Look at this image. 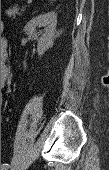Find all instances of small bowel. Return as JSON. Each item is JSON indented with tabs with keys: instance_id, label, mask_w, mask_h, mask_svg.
Returning a JSON list of instances; mask_svg holds the SVG:
<instances>
[{
	"instance_id": "obj_1",
	"label": "small bowel",
	"mask_w": 109,
	"mask_h": 170,
	"mask_svg": "<svg viewBox=\"0 0 109 170\" xmlns=\"http://www.w3.org/2000/svg\"><path fill=\"white\" fill-rule=\"evenodd\" d=\"M1 45L3 47H6V41L5 40H1ZM6 77H7V72H6V70H3L2 71V75H1V82L2 83L6 80Z\"/></svg>"
}]
</instances>
